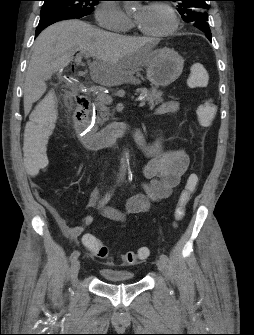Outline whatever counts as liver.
I'll return each mask as SVG.
<instances>
[{
	"mask_svg": "<svg viewBox=\"0 0 254 335\" xmlns=\"http://www.w3.org/2000/svg\"><path fill=\"white\" fill-rule=\"evenodd\" d=\"M151 40L95 28L80 20H66L44 29L37 37L24 82V113L46 92V81L62 71L73 56L93 57L91 77L103 86L116 85L123 70L137 71L151 61Z\"/></svg>",
	"mask_w": 254,
	"mask_h": 335,
	"instance_id": "obj_1",
	"label": "liver"
}]
</instances>
